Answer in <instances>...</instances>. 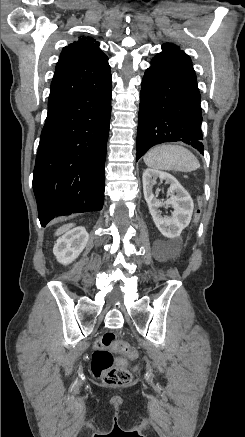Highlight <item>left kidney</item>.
<instances>
[{"label":"left kidney","instance_id":"obj_1","mask_svg":"<svg viewBox=\"0 0 245 437\" xmlns=\"http://www.w3.org/2000/svg\"><path fill=\"white\" fill-rule=\"evenodd\" d=\"M157 178L170 184L168 191L171 197L165 202L157 199V195L152 191ZM143 192L153 221L161 234L172 239L180 236L183 229L189 225L193 214L194 204L189 193L171 174L150 168L143 173ZM163 205L172 206L174 209L171 218L161 215L159 208Z\"/></svg>","mask_w":245,"mask_h":437}]
</instances>
